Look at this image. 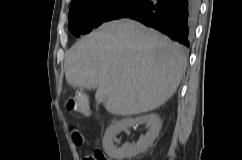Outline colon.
Here are the masks:
<instances>
[{
  "instance_id": "colon-1",
  "label": "colon",
  "mask_w": 242,
  "mask_h": 160,
  "mask_svg": "<svg viewBox=\"0 0 242 160\" xmlns=\"http://www.w3.org/2000/svg\"><path fill=\"white\" fill-rule=\"evenodd\" d=\"M66 108L71 113H78L87 116L90 108L85 95L81 92L72 94L66 102ZM87 160H108L100 151L96 150L93 155L88 156Z\"/></svg>"
}]
</instances>
